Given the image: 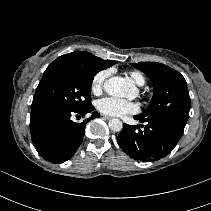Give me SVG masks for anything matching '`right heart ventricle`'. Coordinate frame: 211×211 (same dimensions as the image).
<instances>
[{"label":"right heart ventricle","instance_id":"1","mask_svg":"<svg viewBox=\"0 0 211 211\" xmlns=\"http://www.w3.org/2000/svg\"><path fill=\"white\" fill-rule=\"evenodd\" d=\"M129 76L138 86H142L145 84L146 80H145L144 75L141 72L131 71L129 72Z\"/></svg>","mask_w":211,"mask_h":211}]
</instances>
